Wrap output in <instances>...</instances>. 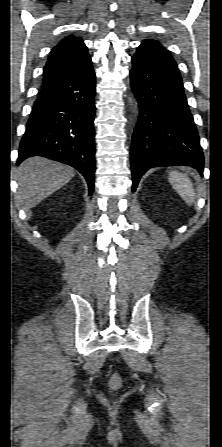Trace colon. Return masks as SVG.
I'll list each match as a JSON object with an SVG mask.
<instances>
[{
  "label": "colon",
  "mask_w": 222,
  "mask_h": 447,
  "mask_svg": "<svg viewBox=\"0 0 222 447\" xmlns=\"http://www.w3.org/2000/svg\"><path fill=\"white\" fill-rule=\"evenodd\" d=\"M121 383H122L121 377L118 374H114L109 381V387L112 390H117L120 388Z\"/></svg>",
  "instance_id": "1"
}]
</instances>
